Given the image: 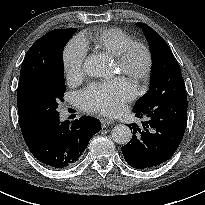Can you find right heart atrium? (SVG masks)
Here are the masks:
<instances>
[{
    "label": "right heart atrium",
    "instance_id": "d8ad5b80",
    "mask_svg": "<svg viewBox=\"0 0 205 205\" xmlns=\"http://www.w3.org/2000/svg\"><path fill=\"white\" fill-rule=\"evenodd\" d=\"M86 54L87 49L81 38L73 37L66 44L62 60L68 80L76 81L81 79Z\"/></svg>",
    "mask_w": 205,
    "mask_h": 205
}]
</instances>
